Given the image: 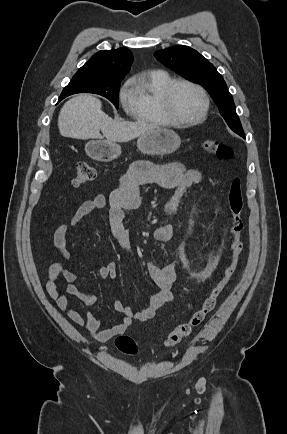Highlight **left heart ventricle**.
<instances>
[{
	"label": "left heart ventricle",
	"instance_id": "obj_1",
	"mask_svg": "<svg viewBox=\"0 0 287 434\" xmlns=\"http://www.w3.org/2000/svg\"><path fill=\"white\" fill-rule=\"evenodd\" d=\"M203 107L200 93L191 86L180 84L175 87L172 94V109L180 119L197 117Z\"/></svg>",
	"mask_w": 287,
	"mask_h": 434
}]
</instances>
